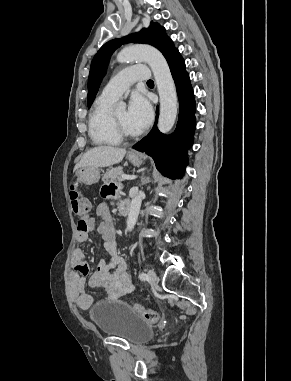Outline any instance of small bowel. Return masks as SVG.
Wrapping results in <instances>:
<instances>
[{
  "instance_id": "1",
  "label": "small bowel",
  "mask_w": 291,
  "mask_h": 381,
  "mask_svg": "<svg viewBox=\"0 0 291 381\" xmlns=\"http://www.w3.org/2000/svg\"><path fill=\"white\" fill-rule=\"evenodd\" d=\"M125 203L126 201H123L120 204V211L121 206ZM95 213L100 218V222L97 223L94 218H90L85 230L80 229L79 222L76 242H86L89 239L90 232L96 231L100 234L109 259H104L98 264L97 270L89 279V286L102 289L106 293V299L114 301L132 292L134 284L125 260L117 253L116 234L109 206L106 203H100L97 205ZM72 268L73 271L69 275L70 294L80 309H88L95 300L86 291L85 276L90 273V266L80 248H76L73 252Z\"/></svg>"
}]
</instances>
